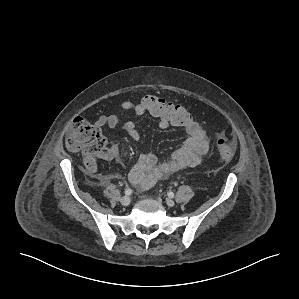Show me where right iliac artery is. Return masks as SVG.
<instances>
[{
    "mask_svg": "<svg viewBox=\"0 0 299 299\" xmlns=\"http://www.w3.org/2000/svg\"><path fill=\"white\" fill-rule=\"evenodd\" d=\"M125 194L126 195H131L132 194V189L131 188L125 189Z\"/></svg>",
    "mask_w": 299,
    "mask_h": 299,
    "instance_id": "82829eb1",
    "label": "right iliac artery"
}]
</instances>
